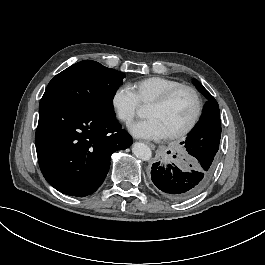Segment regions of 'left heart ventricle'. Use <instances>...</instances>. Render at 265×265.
Returning a JSON list of instances; mask_svg holds the SVG:
<instances>
[{"label": "left heart ventricle", "instance_id": "b2bd125f", "mask_svg": "<svg viewBox=\"0 0 265 265\" xmlns=\"http://www.w3.org/2000/svg\"><path fill=\"white\" fill-rule=\"evenodd\" d=\"M194 111L193 97L187 92H182L163 108L147 107L145 116L156 119L167 135L180 131L187 126Z\"/></svg>", "mask_w": 265, "mask_h": 265}]
</instances>
